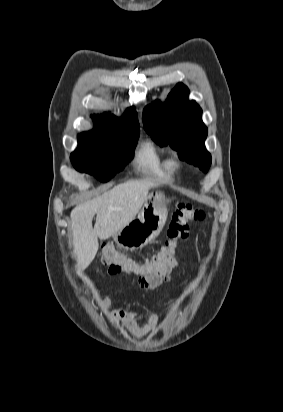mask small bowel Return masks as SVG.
Listing matches in <instances>:
<instances>
[{"mask_svg": "<svg viewBox=\"0 0 283 412\" xmlns=\"http://www.w3.org/2000/svg\"><path fill=\"white\" fill-rule=\"evenodd\" d=\"M176 267L177 261L174 257L172 261L171 270L169 273L174 271ZM163 278L156 282L138 278V282L142 288L152 289L161 284ZM99 307L101 313L113 326L121 325L126 330L134 334L141 335L146 333H152L155 332L160 326L159 317L155 313L150 311L146 312L145 314L147 320L146 324L139 325L137 321L140 316L139 311L126 309L110 310L111 300L107 295H102V297L100 298Z\"/></svg>", "mask_w": 283, "mask_h": 412, "instance_id": "1", "label": "small bowel"}]
</instances>
